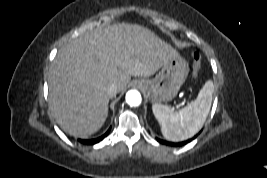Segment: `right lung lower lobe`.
<instances>
[{
    "label": "right lung lower lobe",
    "mask_w": 267,
    "mask_h": 178,
    "mask_svg": "<svg viewBox=\"0 0 267 178\" xmlns=\"http://www.w3.org/2000/svg\"><path fill=\"white\" fill-rule=\"evenodd\" d=\"M109 133V130L101 137L97 138V139H92V140H80L81 143L83 144H95L99 141H101L105 136H107Z\"/></svg>",
    "instance_id": "98d812e1"
}]
</instances>
